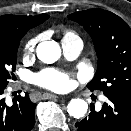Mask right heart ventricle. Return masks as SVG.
<instances>
[{"label":"right heart ventricle","mask_w":131,"mask_h":131,"mask_svg":"<svg viewBox=\"0 0 131 131\" xmlns=\"http://www.w3.org/2000/svg\"><path fill=\"white\" fill-rule=\"evenodd\" d=\"M69 37H76V35L73 32H66L64 38H69Z\"/></svg>","instance_id":"right-heart-ventricle-1"}]
</instances>
